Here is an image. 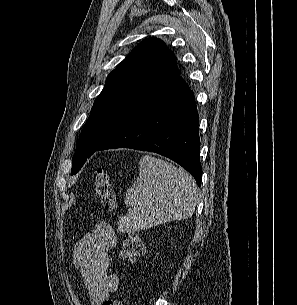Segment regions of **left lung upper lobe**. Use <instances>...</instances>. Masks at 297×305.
<instances>
[{"label": "left lung upper lobe", "mask_w": 297, "mask_h": 305, "mask_svg": "<svg viewBox=\"0 0 297 305\" xmlns=\"http://www.w3.org/2000/svg\"><path fill=\"white\" fill-rule=\"evenodd\" d=\"M176 56L157 38L146 39L107 77L80 134L72 158L76 174L105 141L128 106L151 84L179 76Z\"/></svg>", "instance_id": "obj_1"}]
</instances>
